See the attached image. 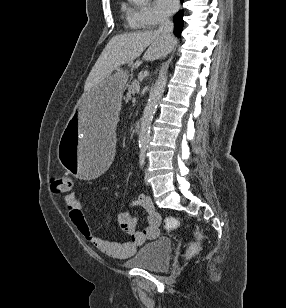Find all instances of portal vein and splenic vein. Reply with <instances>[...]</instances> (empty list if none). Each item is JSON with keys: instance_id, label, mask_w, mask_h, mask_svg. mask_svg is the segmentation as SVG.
<instances>
[{"instance_id": "1", "label": "portal vein and splenic vein", "mask_w": 286, "mask_h": 308, "mask_svg": "<svg viewBox=\"0 0 286 308\" xmlns=\"http://www.w3.org/2000/svg\"><path fill=\"white\" fill-rule=\"evenodd\" d=\"M140 91V86L136 87V92L138 93Z\"/></svg>"}]
</instances>
